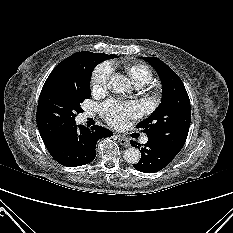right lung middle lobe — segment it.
I'll return each mask as SVG.
<instances>
[{"mask_svg":"<svg viewBox=\"0 0 233 233\" xmlns=\"http://www.w3.org/2000/svg\"><path fill=\"white\" fill-rule=\"evenodd\" d=\"M115 55L79 52L70 69H53L38 101L37 126L42 138L62 135L75 124L76 114L83 112L81 103L89 99L90 78L95 66Z\"/></svg>","mask_w":233,"mask_h":233,"instance_id":"1","label":"right lung middle lobe"}]
</instances>
